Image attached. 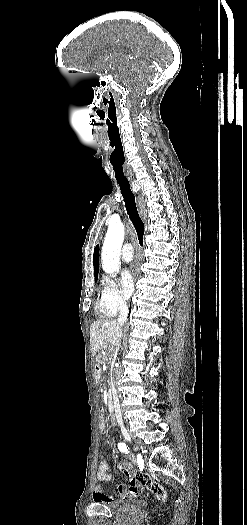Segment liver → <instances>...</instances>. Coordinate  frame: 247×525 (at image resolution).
<instances>
[{
    "instance_id": "1",
    "label": "liver",
    "mask_w": 247,
    "mask_h": 525,
    "mask_svg": "<svg viewBox=\"0 0 247 525\" xmlns=\"http://www.w3.org/2000/svg\"><path fill=\"white\" fill-rule=\"evenodd\" d=\"M91 335L96 341L93 355L103 349L106 345L117 347L122 337V325L117 323L116 319H101V321H94L91 325Z\"/></svg>"
}]
</instances>
